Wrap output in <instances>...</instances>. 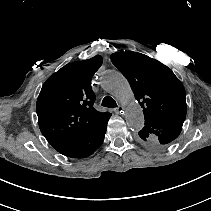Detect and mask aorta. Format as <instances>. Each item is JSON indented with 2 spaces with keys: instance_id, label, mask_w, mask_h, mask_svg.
I'll use <instances>...</instances> for the list:
<instances>
[{
  "instance_id": "aorta-1",
  "label": "aorta",
  "mask_w": 211,
  "mask_h": 211,
  "mask_svg": "<svg viewBox=\"0 0 211 211\" xmlns=\"http://www.w3.org/2000/svg\"><path fill=\"white\" fill-rule=\"evenodd\" d=\"M101 85L105 91L115 96L126 107V123L133 131H138L144 126V114L142 108L135 100L127 79L120 73L109 71L102 75Z\"/></svg>"
}]
</instances>
